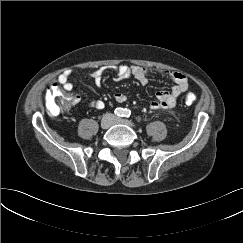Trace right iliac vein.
Listing matches in <instances>:
<instances>
[{
	"label": "right iliac vein",
	"instance_id": "right-iliac-vein-1",
	"mask_svg": "<svg viewBox=\"0 0 243 243\" xmlns=\"http://www.w3.org/2000/svg\"><path fill=\"white\" fill-rule=\"evenodd\" d=\"M113 123V118L110 115H106L101 120V128L102 129H108Z\"/></svg>",
	"mask_w": 243,
	"mask_h": 243
}]
</instances>
